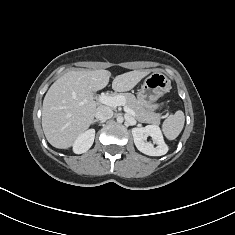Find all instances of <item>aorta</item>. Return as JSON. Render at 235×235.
I'll return each mask as SVG.
<instances>
[{
    "instance_id": "aorta-1",
    "label": "aorta",
    "mask_w": 235,
    "mask_h": 235,
    "mask_svg": "<svg viewBox=\"0 0 235 235\" xmlns=\"http://www.w3.org/2000/svg\"><path fill=\"white\" fill-rule=\"evenodd\" d=\"M117 122L122 123L123 122V117H121V116L117 117Z\"/></svg>"
}]
</instances>
